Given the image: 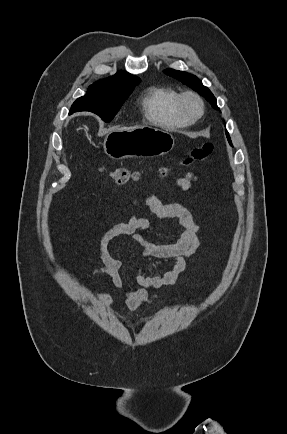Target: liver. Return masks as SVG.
<instances>
[{
    "label": "liver",
    "instance_id": "6515ba94",
    "mask_svg": "<svg viewBox=\"0 0 287 434\" xmlns=\"http://www.w3.org/2000/svg\"><path fill=\"white\" fill-rule=\"evenodd\" d=\"M134 128H137V127H132V128H122V129H120V130H129V129H134Z\"/></svg>",
    "mask_w": 287,
    "mask_h": 434
}]
</instances>
